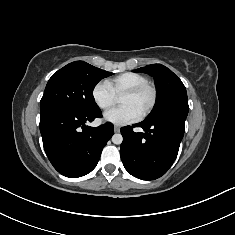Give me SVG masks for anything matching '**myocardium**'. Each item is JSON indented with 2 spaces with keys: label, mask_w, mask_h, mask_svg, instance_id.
Segmentation results:
<instances>
[{
  "label": "myocardium",
  "mask_w": 235,
  "mask_h": 235,
  "mask_svg": "<svg viewBox=\"0 0 235 235\" xmlns=\"http://www.w3.org/2000/svg\"><path fill=\"white\" fill-rule=\"evenodd\" d=\"M143 91H149L150 101L148 105L146 106V108L143 110V112L140 114V118L147 117L156 105L158 94H157V89L155 85L152 84L151 82H145L137 86H134L132 88H129L123 92V95L136 96V95L141 94Z\"/></svg>",
  "instance_id": "f54148a6"
}]
</instances>
